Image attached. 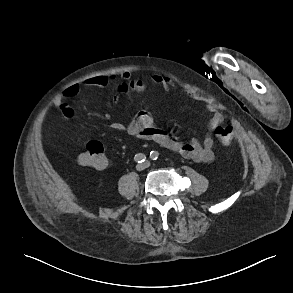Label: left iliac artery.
<instances>
[{"label":"left iliac artery","mask_w":293,"mask_h":293,"mask_svg":"<svg viewBox=\"0 0 293 293\" xmlns=\"http://www.w3.org/2000/svg\"><path fill=\"white\" fill-rule=\"evenodd\" d=\"M158 157H159V153H158L157 151H151V152H150V158H151L152 160H157Z\"/></svg>","instance_id":"1"}]
</instances>
